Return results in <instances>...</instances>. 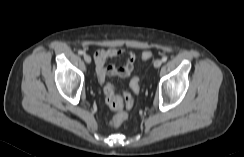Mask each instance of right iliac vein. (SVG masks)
Segmentation results:
<instances>
[{"label": "right iliac vein", "instance_id": "1", "mask_svg": "<svg viewBox=\"0 0 244 157\" xmlns=\"http://www.w3.org/2000/svg\"><path fill=\"white\" fill-rule=\"evenodd\" d=\"M84 60H85V62L88 63V64L91 63V57H90L89 55H87V54L84 55Z\"/></svg>", "mask_w": 244, "mask_h": 157}]
</instances>
